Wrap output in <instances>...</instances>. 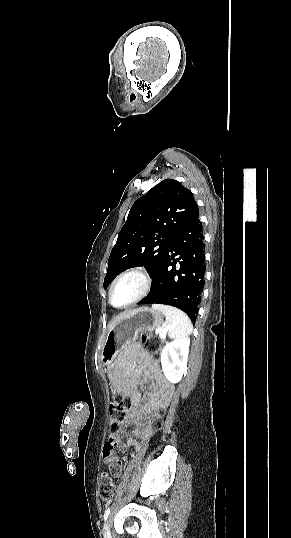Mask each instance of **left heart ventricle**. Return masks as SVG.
<instances>
[{
    "instance_id": "1",
    "label": "left heart ventricle",
    "mask_w": 291,
    "mask_h": 538,
    "mask_svg": "<svg viewBox=\"0 0 291 538\" xmlns=\"http://www.w3.org/2000/svg\"><path fill=\"white\" fill-rule=\"evenodd\" d=\"M142 280L137 276L123 278L114 288L112 301L121 306L134 298L142 289Z\"/></svg>"
}]
</instances>
